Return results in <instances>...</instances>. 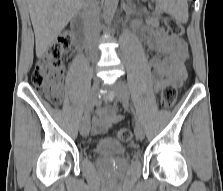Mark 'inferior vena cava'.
I'll return each mask as SVG.
<instances>
[{"label":"inferior vena cava","mask_w":223,"mask_h":191,"mask_svg":"<svg viewBox=\"0 0 223 191\" xmlns=\"http://www.w3.org/2000/svg\"><path fill=\"white\" fill-rule=\"evenodd\" d=\"M87 30L88 46L92 57H97L98 52L94 46V40L100 31L99 6L96 0H84L83 3Z\"/></svg>","instance_id":"1"}]
</instances>
